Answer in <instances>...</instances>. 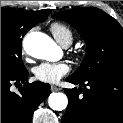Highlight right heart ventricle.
<instances>
[{"label": "right heart ventricle", "instance_id": "1", "mask_svg": "<svg viewBox=\"0 0 123 123\" xmlns=\"http://www.w3.org/2000/svg\"><path fill=\"white\" fill-rule=\"evenodd\" d=\"M51 32L60 44L68 43L70 45L72 43L73 34L66 25L55 22L51 25Z\"/></svg>", "mask_w": 123, "mask_h": 123}]
</instances>
